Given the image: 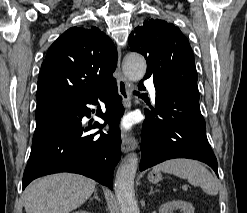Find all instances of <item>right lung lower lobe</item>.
<instances>
[{
    "label": "right lung lower lobe",
    "instance_id": "1",
    "mask_svg": "<svg viewBox=\"0 0 247 213\" xmlns=\"http://www.w3.org/2000/svg\"><path fill=\"white\" fill-rule=\"evenodd\" d=\"M105 102L106 112L97 115L110 124L107 134H88L103 125L82 124L90 116L86 104ZM124 112L116 81L91 95H62L40 106L35 112L36 129L23 175V189L34 179L58 172L88 176L113 188V171L120 160L121 138L116 128Z\"/></svg>",
    "mask_w": 247,
    "mask_h": 213
}]
</instances>
